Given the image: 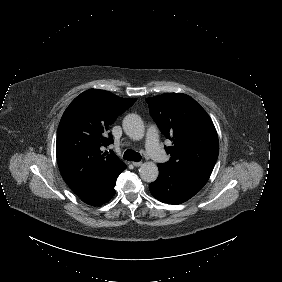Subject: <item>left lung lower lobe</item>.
<instances>
[{"mask_svg": "<svg viewBox=\"0 0 282 282\" xmlns=\"http://www.w3.org/2000/svg\"><path fill=\"white\" fill-rule=\"evenodd\" d=\"M159 168V176L149 185L151 194L161 202L181 204L198 193L212 170L200 168Z\"/></svg>", "mask_w": 282, "mask_h": 282, "instance_id": "left-lung-lower-lobe-1", "label": "left lung lower lobe"}]
</instances>
